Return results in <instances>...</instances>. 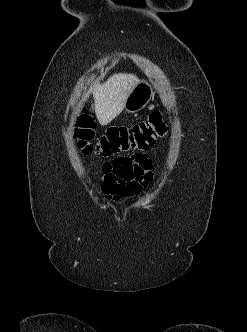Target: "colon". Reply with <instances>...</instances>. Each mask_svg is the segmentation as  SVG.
<instances>
[{
	"label": "colon",
	"instance_id": "obj_1",
	"mask_svg": "<svg viewBox=\"0 0 247 332\" xmlns=\"http://www.w3.org/2000/svg\"><path fill=\"white\" fill-rule=\"evenodd\" d=\"M95 121L83 109L75 118L74 137L85 154L110 157L129 150H146L155 145L165 131L166 125L159 112L132 126L114 127L95 139Z\"/></svg>",
	"mask_w": 247,
	"mask_h": 332
}]
</instances>
